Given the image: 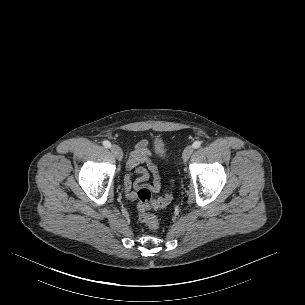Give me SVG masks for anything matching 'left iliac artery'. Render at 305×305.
<instances>
[{
    "label": "left iliac artery",
    "instance_id": "left-iliac-artery-1",
    "mask_svg": "<svg viewBox=\"0 0 305 305\" xmlns=\"http://www.w3.org/2000/svg\"><path fill=\"white\" fill-rule=\"evenodd\" d=\"M193 148L197 149L201 146V141H195L193 144H192Z\"/></svg>",
    "mask_w": 305,
    "mask_h": 305
}]
</instances>
